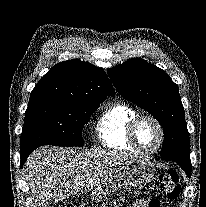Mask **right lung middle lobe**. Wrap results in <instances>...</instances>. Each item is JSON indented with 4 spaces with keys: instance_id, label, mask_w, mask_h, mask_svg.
Returning a JSON list of instances; mask_svg holds the SVG:
<instances>
[{
    "instance_id": "dd1d6c3e",
    "label": "right lung middle lobe",
    "mask_w": 206,
    "mask_h": 207,
    "mask_svg": "<svg viewBox=\"0 0 206 207\" xmlns=\"http://www.w3.org/2000/svg\"><path fill=\"white\" fill-rule=\"evenodd\" d=\"M98 107L51 99L29 102L20 153L32 152L41 145L83 146V126Z\"/></svg>"
}]
</instances>
